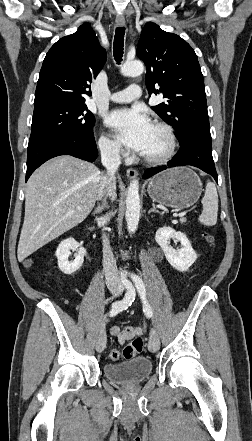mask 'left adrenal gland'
Wrapping results in <instances>:
<instances>
[{
	"label": "left adrenal gland",
	"instance_id": "1",
	"mask_svg": "<svg viewBox=\"0 0 252 441\" xmlns=\"http://www.w3.org/2000/svg\"><path fill=\"white\" fill-rule=\"evenodd\" d=\"M152 212H155V213L161 214V213L159 212V210L156 209L155 204H152V208L149 210L148 213L150 214V213H152Z\"/></svg>",
	"mask_w": 252,
	"mask_h": 441
}]
</instances>
